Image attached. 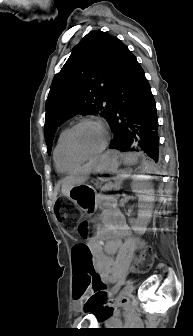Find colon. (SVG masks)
<instances>
[{
  "label": "colon",
  "mask_w": 193,
  "mask_h": 336,
  "mask_svg": "<svg viewBox=\"0 0 193 336\" xmlns=\"http://www.w3.org/2000/svg\"><path fill=\"white\" fill-rule=\"evenodd\" d=\"M56 209L60 222L67 230L76 229L78 234L87 239L93 232V226L87 221H80V214L76 211L73 203L66 199L60 198L56 201ZM153 259L151 248L146 249L138 261L140 269H146L150 266ZM73 265L78 273V279L74 287V295L76 299L84 301L85 306L89 305L98 296L99 292L94 289L92 295L85 294V288L93 282L94 285H102V281L96 279L93 281L94 269L91 262L89 250L86 245L79 244L73 249ZM126 300H123V302ZM112 310V308H110Z\"/></svg>",
  "instance_id": "1"
}]
</instances>
